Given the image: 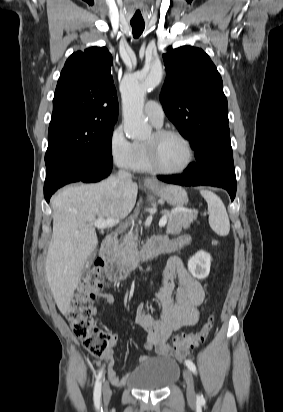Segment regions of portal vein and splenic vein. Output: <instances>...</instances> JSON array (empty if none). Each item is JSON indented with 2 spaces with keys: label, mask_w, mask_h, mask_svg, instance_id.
<instances>
[{
  "label": "portal vein and splenic vein",
  "mask_w": 283,
  "mask_h": 412,
  "mask_svg": "<svg viewBox=\"0 0 283 412\" xmlns=\"http://www.w3.org/2000/svg\"><path fill=\"white\" fill-rule=\"evenodd\" d=\"M176 212H191V210L187 209V208H176L174 210H172V213H176ZM168 220V215H163L162 218L159 221V227H164L167 223ZM120 222V219H97L96 221L92 222L91 225L98 228V229H106V228H110L113 227L115 225H117Z\"/></svg>",
  "instance_id": "1"
}]
</instances>
